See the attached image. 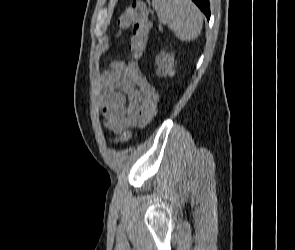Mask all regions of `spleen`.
I'll return each instance as SVG.
<instances>
[{"label": "spleen", "instance_id": "1", "mask_svg": "<svg viewBox=\"0 0 295 250\" xmlns=\"http://www.w3.org/2000/svg\"><path fill=\"white\" fill-rule=\"evenodd\" d=\"M152 6L180 40L193 41L201 33L203 15L191 0H153Z\"/></svg>", "mask_w": 295, "mask_h": 250}]
</instances>
